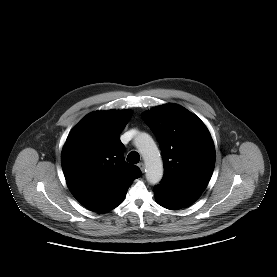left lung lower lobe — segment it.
Wrapping results in <instances>:
<instances>
[{
	"label": "left lung lower lobe",
	"mask_w": 277,
	"mask_h": 277,
	"mask_svg": "<svg viewBox=\"0 0 277 277\" xmlns=\"http://www.w3.org/2000/svg\"><path fill=\"white\" fill-rule=\"evenodd\" d=\"M157 202L164 208L178 210L192 204L200 194L173 190L164 185L154 187Z\"/></svg>",
	"instance_id": "0a47b994"
}]
</instances>
